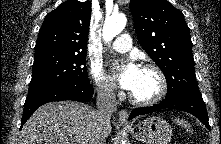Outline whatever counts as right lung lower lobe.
Listing matches in <instances>:
<instances>
[{
    "label": "right lung lower lobe",
    "mask_w": 221,
    "mask_h": 144,
    "mask_svg": "<svg viewBox=\"0 0 221 144\" xmlns=\"http://www.w3.org/2000/svg\"><path fill=\"white\" fill-rule=\"evenodd\" d=\"M93 92V86L90 83L86 85L64 83L48 87L32 97L26 98L21 127L33 112L45 103L63 100L87 102L92 98Z\"/></svg>",
    "instance_id": "right-lung-lower-lobe-1"
}]
</instances>
